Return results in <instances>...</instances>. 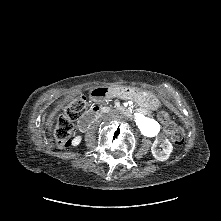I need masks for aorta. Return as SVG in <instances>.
<instances>
[{"label": "aorta", "mask_w": 221, "mask_h": 221, "mask_svg": "<svg viewBox=\"0 0 221 221\" xmlns=\"http://www.w3.org/2000/svg\"><path fill=\"white\" fill-rule=\"evenodd\" d=\"M134 120L138 125L140 131L146 136H155L159 132V124L140 113L134 114Z\"/></svg>", "instance_id": "762f6f07"}]
</instances>
